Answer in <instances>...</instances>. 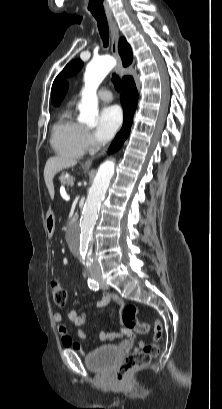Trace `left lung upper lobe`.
<instances>
[{"mask_svg": "<svg viewBox=\"0 0 222 409\" xmlns=\"http://www.w3.org/2000/svg\"><path fill=\"white\" fill-rule=\"evenodd\" d=\"M83 63L81 60H73L71 61L69 64L66 65V67L61 71V73L56 77L54 83H53V87H52V93L54 91V88L57 84V82L66 76H71L76 74L79 69H81Z\"/></svg>", "mask_w": 222, "mask_h": 409, "instance_id": "left-lung-upper-lobe-1", "label": "left lung upper lobe"}]
</instances>
